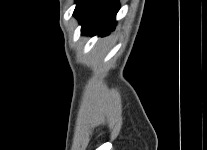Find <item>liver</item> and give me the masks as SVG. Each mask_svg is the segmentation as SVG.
Wrapping results in <instances>:
<instances>
[{
    "instance_id": "liver-1",
    "label": "liver",
    "mask_w": 207,
    "mask_h": 150,
    "mask_svg": "<svg viewBox=\"0 0 207 150\" xmlns=\"http://www.w3.org/2000/svg\"><path fill=\"white\" fill-rule=\"evenodd\" d=\"M84 107L92 112H95L99 109L98 100L94 91H91L86 95Z\"/></svg>"
}]
</instances>
